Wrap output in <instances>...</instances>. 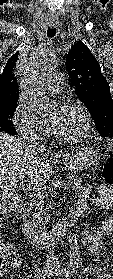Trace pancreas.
Wrapping results in <instances>:
<instances>
[{
  "label": "pancreas",
  "mask_w": 113,
  "mask_h": 279,
  "mask_svg": "<svg viewBox=\"0 0 113 279\" xmlns=\"http://www.w3.org/2000/svg\"><path fill=\"white\" fill-rule=\"evenodd\" d=\"M68 182L72 184V189L79 192L82 189V180L78 176L68 174ZM49 198L48 194L41 190L39 194L33 195L30 199L29 206L32 209V221L34 225H45L49 222L48 212L44 209L48 207Z\"/></svg>",
  "instance_id": "1"
}]
</instances>
